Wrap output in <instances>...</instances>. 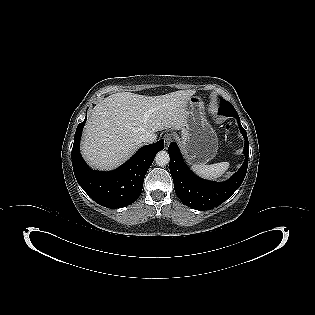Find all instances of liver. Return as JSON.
<instances>
[{
    "label": "liver",
    "mask_w": 315,
    "mask_h": 315,
    "mask_svg": "<svg viewBox=\"0 0 315 315\" xmlns=\"http://www.w3.org/2000/svg\"><path fill=\"white\" fill-rule=\"evenodd\" d=\"M194 94L195 90H179L160 96L121 92L106 97L88 116L83 157L96 169L119 166L142 146V135L168 128L182 130Z\"/></svg>",
    "instance_id": "1"
}]
</instances>
